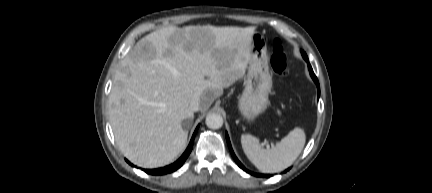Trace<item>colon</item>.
Here are the masks:
<instances>
[{
    "mask_svg": "<svg viewBox=\"0 0 432 193\" xmlns=\"http://www.w3.org/2000/svg\"><path fill=\"white\" fill-rule=\"evenodd\" d=\"M271 68L280 77H284L288 73V60L284 49L279 40L273 43V51L271 56Z\"/></svg>",
    "mask_w": 432,
    "mask_h": 193,
    "instance_id": "1",
    "label": "colon"
}]
</instances>
